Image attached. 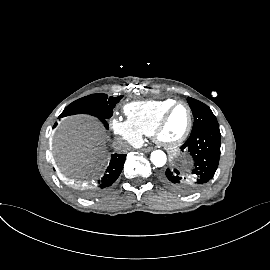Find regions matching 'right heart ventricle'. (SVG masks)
<instances>
[{"label": "right heart ventricle", "mask_w": 270, "mask_h": 270, "mask_svg": "<svg viewBox=\"0 0 270 270\" xmlns=\"http://www.w3.org/2000/svg\"><path fill=\"white\" fill-rule=\"evenodd\" d=\"M175 99L130 102L124 106L127 121L141 134L152 136L157 121Z\"/></svg>", "instance_id": "obj_1"}]
</instances>
